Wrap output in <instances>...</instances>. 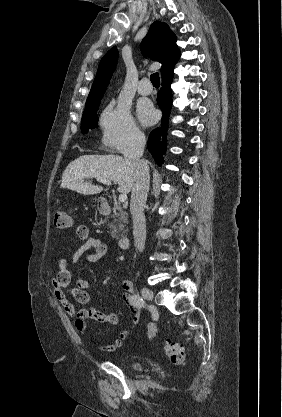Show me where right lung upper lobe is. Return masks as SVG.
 I'll use <instances>...</instances> for the list:
<instances>
[{
    "mask_svg": "<svg viewBox=\"0 0 282 417\" xmlns=\"http://www.w3.org/2000/svg\"><path fill=\"white\" fill-rule=\"evenodd\" d=\"M176 41L177 38L168 25L158 21L151 25L143 39L141 50L144 55L162 64L161 75L172 70L180 58ZM117 59L118 51L114 46L101 59L89 96L104 94L116 68Z\"/></svg>",
    "mask_w": 282,
    "mask_h": 417,
    "instance_id": "cb5924a9",
    "label": "right lung upper lobe"
}]
</instances>
